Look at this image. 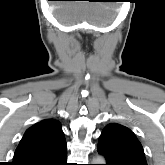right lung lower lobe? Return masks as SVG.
Returning a JSON list of instances; mask_svg holds the SVG:
<instances>
[{"instance_id": "98d812e1", "label": "right lung lower lobe", "mask_w": 165, "mask_h": 165, "mask_svg": "<svg viewBox=\"0 0 165 165\" xmlns=\"http://www.w3.org/2000/svg\"><path fill=\"white\" fill-rule=\"evenodd\" d=\"M67 144L60 140L49 148V152L29 165H68L66 158Z\"/></svg>"}]
</instances>
